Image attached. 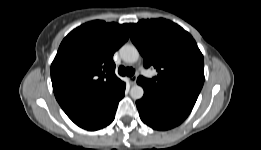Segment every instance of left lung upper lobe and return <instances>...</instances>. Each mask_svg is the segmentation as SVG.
Wrapping results in <instances>:
<instances>
[{"instance_id":"left-lung-upper-lobe-1","label":"left lung upper lobe","mask_w":261,"mask_h":150,"mask_svg":"<svg viewBox=\"0 0 261 150\" xmlns=\"http://www.w3.org/2000/svg\"><path fill=\"white\" fill-rule=\"evenodd\" d=\"M131 40L154 67L153 79L138 82L155 90L177 92L197 99L204 83V58L192 36L179 25L160 18L130 24Z\"/></svg>"}]
</instances>
